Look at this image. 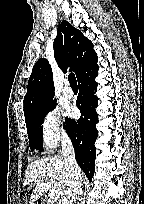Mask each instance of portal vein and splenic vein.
I'll return each mask as SVG.
<instances>
[{"instance_id": "obj_1", "label": "portal vein and splenic vein", "mask_w": 144, "mask_h": 204, "mask_svg": "<svg viewBox=\"0 0 144 204\" xmlns=\"http://www.w3.org/2000/svg\"><path fill=\"white\" fill-rule=\"evenodd\" d=\"M38 181L39 180L37 179L36 182H38ZM51 188H52V185L50 182H46L44 184L45 191H49L50 199H54V200L59 199V197H60L59 191L57 189H54V188L51 189Z\"/></svg>"}]
</instances>
